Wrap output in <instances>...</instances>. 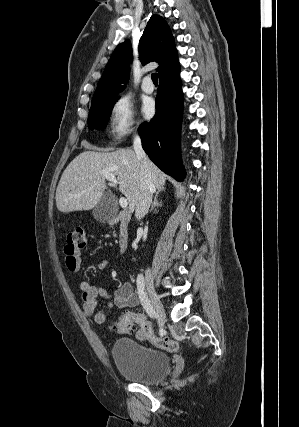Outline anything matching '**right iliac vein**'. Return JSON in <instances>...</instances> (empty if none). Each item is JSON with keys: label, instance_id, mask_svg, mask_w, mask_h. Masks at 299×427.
<instances>
[{"label": "right iliac vein", "instance_id": "63e3f726", "mask_svg": "<svg viewBox=\"0 0 299 427\" xmlns=\"http://www.w3.org/2000/svg\"><path fill=\"white\" fill-rule=\"evenodd\" d=\"M147 289H148L151 301L153 303V306L156 310V313H157V316L159 319V323L162 326L165 322V319H166V313H165L163 304H162V302H161V300H160V298H159V296L155 290L153 279L150 277L147 279Z\"/></svg>", "mask_w": 299, "mask_h": 427}]
</instances>
